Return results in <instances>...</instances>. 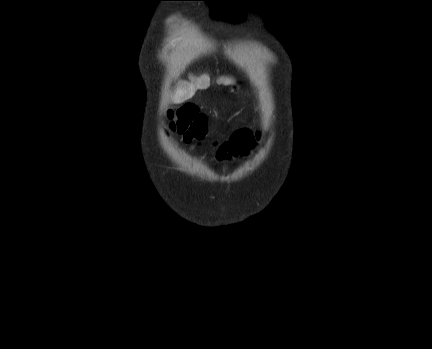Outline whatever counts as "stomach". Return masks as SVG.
<instances>
[{
    "mask_svg": "<svg viewBox=\"0 0 432 349\" xmlns=\"http://www.w3.org/2000/svg\"><path fill=\"white\" fill-rule=\"evenodd\" d=\"M231 90H232L233 92H235V91L237 90V86H236V85H232V86H231Z\"/></svg>",
    "mask_w": 432,
    "mask_h": 349,
    "instance_id": "obj_1",
    "label": "stomach"
}]
</instances>
